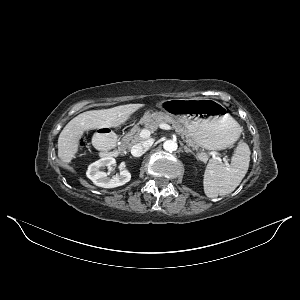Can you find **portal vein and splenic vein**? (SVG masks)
<instances>
[{"label": "portal vein and splenic vein", "mask_w": 300, "mask_h": 300, "mask_svg": "<svg viewBox=\"0 0 300 300\" xmlns=\"http://www.w3.org/2000/svg\"><path fill=\"white\" fill-rule=\"evenodd\" d=\"M159 127L163 130H171V126L166 124V123H161L159 125ZM150 134L151 132L147 129H143L141 132H140V137L143 138V139H148L150 137ZM211 155H214L215 153L214 152H211L210 153Z\"/></svg>", "instance_id": "portal-vein-and-splenic-vein-1"}]
</instances>
